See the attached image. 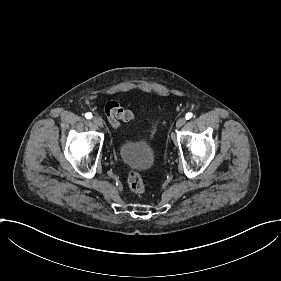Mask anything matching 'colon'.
Instances as JSON below:
<instances>
[{
  "mask_svg": "<svg viewBox=\"0 0 281 281\" xmlns=\"http://www.w3.org/2000/svg\"><path fill=\"white\" fill-rule=\"evenodd\" d=\"M126 183L136 195H143L147 189L145 178L138 171H130L126 176Z\"/></svg>",
  "mask_w": 281,
  "mask_h": 281,
  "instance_id": "obj_1",
  "label": "colon"
}]
</instances>
